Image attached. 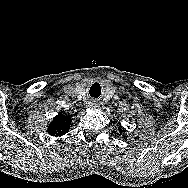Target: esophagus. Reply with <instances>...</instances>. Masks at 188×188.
<instances>
[{
	"label": "esophagus",
	"instance_id": "obj_1",
	"mask_svg": "<svg viewBox=\"0 0 188 188\" xmlns=\"http://www.w3.org/2000/svg\"><path fill=\"white\" fill-rule=\"evenodd\" d=\"M90 104H91V107H93V108L99 107V104L95 101H92Z\"/></svg>",
	"mask_w": 188,
	"mask_h": 188
}]
</instances>
